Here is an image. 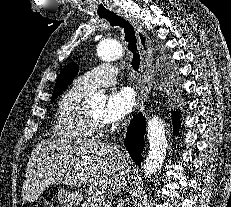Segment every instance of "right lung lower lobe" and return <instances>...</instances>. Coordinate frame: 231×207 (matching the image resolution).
I'll use <instances>...</instances> for the list:
<instances>
[{"mask_svg": "<svg viewBox=\"0 0 231 207\" xmlns=\"http://www.w3.org/2000/svg\"><path fill=\"white\" fill-rule=\"evenodd\" d=\"M179 113L178 111L173 112L172 122H173V131L174 133L178 131L179 127ZM146 129V122L143 115H136L130 122L126 133V140L124 142L126 149L130 153L134 162L137 165L141 163V153L144 147V134Z\"/></svg>", "mask_w": 231, "mask_h": 207, "instance_id": "1", "label": "right lung lower lobe"}]
</instances>
